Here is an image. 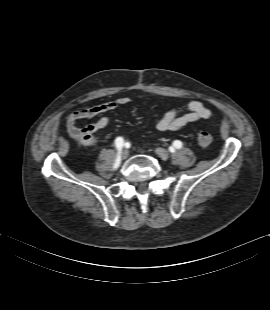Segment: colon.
<instances>
[{"mask_svg":"<svg viewBox=\"0 0 270 310\" xmlns=\"http://www.w3.org/2000/svg\"><path fill=\"white\" fill-rule=\"evenodd\" d=\"M197 141L201 147H207L212 143V136L206 131H200L197 134Z\"/></svg>","mask_w":270,"mask_h":310,"instance_id":"1","label":"colon"}]
</instances>
